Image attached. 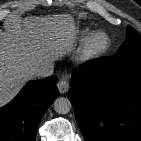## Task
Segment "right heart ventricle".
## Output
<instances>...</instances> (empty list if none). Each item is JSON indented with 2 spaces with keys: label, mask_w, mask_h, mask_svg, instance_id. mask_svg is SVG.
Masks as SVG:
<instances>
[{
  "label": "right heart ventricle",
  "mask_w": 141,
  "mask_h": 141,
  "mask_svg": "<svg viewBox=\"0 0 141 141\" xmlns=\"http://www.w3.org/2000/svg\"><path fill=\"white\" fill-rule=\"evenodd\" d=\"M90 34H91V31L88 29L81 30V32L79 34V40L80 41L85 40Z\"/></svg>",
  "instance_id": "e07e8e85"
}]
</instances>
